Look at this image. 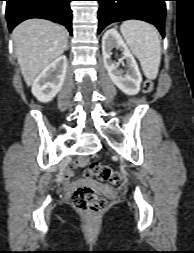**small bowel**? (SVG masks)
<instances>
[{"label": "small bowel", "mask_w": 194, "mask_h": 253, "mask_svg": "<svg viewBox=\"0 0 194 253\" xmlns=\"http://www.w3.org/2000/svg\"><path fill=\"white\" fill-rule=\"evenodd\" d=\"M73 175L74 172L72 170H67L62 177V182L68 189H71L73 187V184L70 182V179L73 177Z\"/></svg>", "instance_id": "obj_1"}]
</instances>
